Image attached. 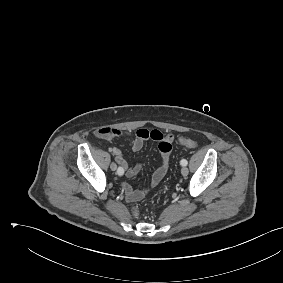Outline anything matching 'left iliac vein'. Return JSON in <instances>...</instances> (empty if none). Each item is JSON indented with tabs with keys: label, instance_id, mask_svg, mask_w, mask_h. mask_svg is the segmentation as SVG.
Listing matches in <instances>:
<instances>
[{
	"label": "left iliac vein",
	"instance_id": "1",
	"mask_svg": "<svg viewBox=\"0 0 283 283\" xmlns=\"http://www.w3.org/2000/svg\"><path fill=\"white\" fill-rule=\"evenodd\" d=\"M188 173H189L188 168H187V167H182V169H181V174H182L183 176H187Z\"/></svg>",
	"mask_w": 283,
	"mask_h": 283
}]
</instances>
